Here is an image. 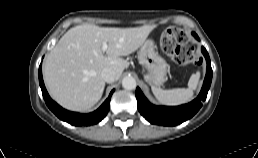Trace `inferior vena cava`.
I'll return each mask as SVG.
<instances>
[{
    "label": "inferior vena cava",
    "mask_w": 258,
    "mask_h": 158,
    "mask_svg": "<svg viewBox=\"0 0 258 158\" xmlns=\"http://www.w3.org/2000/svg\"><path fill=\"white\" fill-rule=\"evenodd\" d=\"M101 77L102 79L107 83H112L115 80H117V74L116 72L111 68H104L101 71Z\"/></svg>",
    "instance_id": "602c4592"
}]
</instances>
